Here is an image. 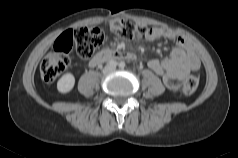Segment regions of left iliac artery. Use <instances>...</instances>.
Returning a JSON list of instances; mask_svg holds the SVG:
<instances>
[{
    "mask_svg": "<svg viewBox=\"0 0 238 158\" xmlns=\"http://www.w3.org/2000/svg\"><path fill=\"white\" fill-rule=\"evenodd\" d=\"M119 67H120V68H124V67H125V63H124V62H120V63H119Z\"/></svg>",
    "mask_w": 238,
    "mask_h": 158,
    "instance_id": "left-iliac-artery-1",
    "label": "left iliac artery"
}]
</instances>
